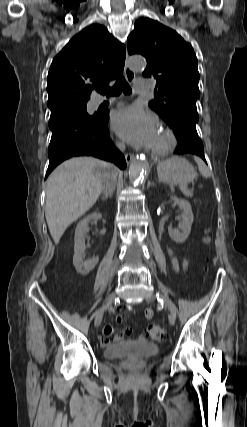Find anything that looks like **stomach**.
I'll return each mask as SVG.
<instances>
[{
  "label": "stomach",
  "instance_id": "obj_1",
  "mask_svg": "<svg viewBox=\"0 0 247 427\" xmlns=\"http://www.w3.org/2000/svg\"><path fill=\"white\" fill-rule=\"evenodd\" d=\"M157 171L161 182L180 186L193 182L197 176L190 162L181 157H174L160 163Z\"/></svg>",
  "mask_w": 247,
  "mask_h": 427
}]
</instances>
